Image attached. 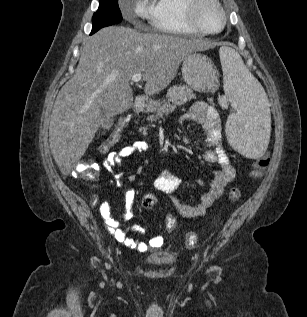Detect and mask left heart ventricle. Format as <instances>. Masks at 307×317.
Here are the masks:
<instances>
[{
	"mask_svg": "<svg viewBox=\"0 0 307 317\" xmlns=\"http://www.w3.org/2000/svg\"><path fill=\"white\" fill-rule=\"evenodd\" d=\"M200 20L207 30H217L221 24L220 14L212 4L204 5L200 10Z\"/></svg>",
	"mask_w": 307,
	"mask_h": 317,
	"instance_id": "obj_1",
	"label": "left heart ventricle"
}]
</instances>
